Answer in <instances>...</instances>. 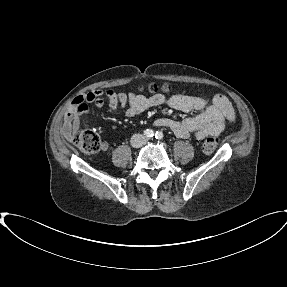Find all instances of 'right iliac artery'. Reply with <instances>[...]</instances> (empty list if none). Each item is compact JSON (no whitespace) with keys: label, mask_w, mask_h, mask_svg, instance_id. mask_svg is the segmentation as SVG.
Returning <instances> with one entry per match:
<instances>
[{"label":"right iliac artery","mask_w":287,"mask_h":287,"mask_svg":"<svg viewBox=\"0 0 287 287\" xmlns=\"http://www.w3.org/2000/svg\"><path fill=\"white\" fill-rule=\"evenodd\" d=\"M144 135H145L146 137H148V138H151V137L154 136V131L151 130V129H146V130L144 131Z\"/></svg>","instance_id":"right-iliac-artery-1"}]
</instances>
